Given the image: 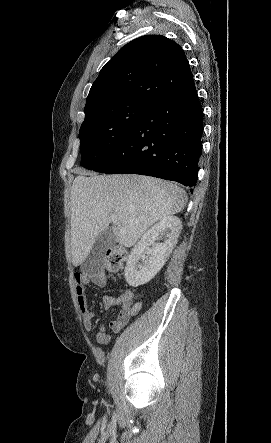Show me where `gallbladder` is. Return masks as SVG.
I'll return each mask as SVG.
<instances>
[{"instance_id": "obj_1", "label": "gallbladder", "mask_w": 271, "mask_h": 443, "mask_svg": "<svg viewBox=\"0 0 271 443\" xmlns=\"http://www.w3.org/2000/svg\"><path fill=\"white\" fill-rule=\"evenodd\" d=\"M115 243V233L111 229L101 231L92 247V251L88 252L89 260H81V269H84L85 273H100L101 269H107V260L110 259V252L107 249L114 247Z\"/></svg>"}]
</instances>
